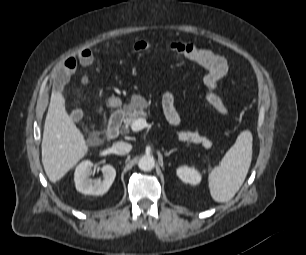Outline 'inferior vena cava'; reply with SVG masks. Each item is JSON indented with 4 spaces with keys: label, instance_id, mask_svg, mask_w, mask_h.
<instances>
[{
    "label": "inferior vena cava",
    "instance_id": "inferior-vena-cava-1",
    "mask_svg": "<svg viewBox=\"0 0 306 255\" xmlns=\"http://www.w3.org/2000/svg\"><path fill=\"white\" fill-rule=\"evenodd\" d=\"M132 149V145L125 142H117L112 146L113 153L117 155H125Z\"/></svg>",
    "mask_w": 306,
    "mask_h": 255
}]
</instances>
